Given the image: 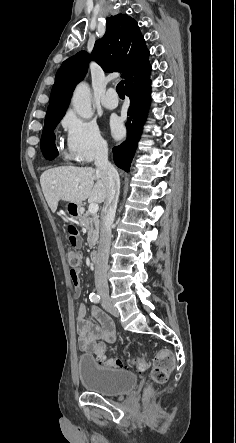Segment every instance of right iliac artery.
Segmentation results:
<instances>
[{
	"mask_svg": "<svg viewBox=\"0 0 236 443\" xmlns=\"http://www.w3.org/2000/svg\"><path fill=\"white\" fill-rule=\"evenodd\" d=\"M89 299L91 302L98 303L100 301V296L95 293H91L89 295Z\"/></svg>",
	"mask_w": 236,
	"mask_h": 443,
	"instance_id": "obj_1",
	"label": "right iliac artery"
}]
</instances>
